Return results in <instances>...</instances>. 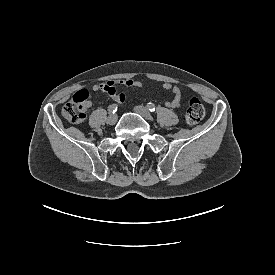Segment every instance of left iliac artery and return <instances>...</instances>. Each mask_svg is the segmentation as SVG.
<instances>
[{
  "instance_id": "44dca946",
  "label": "left iliac artery",
  "mask_w": 275,
  "mask_h": 275,
  "mask_svg": "<svg viewBox=\"0 0 275 275\" xmlns=\"http://www.w3.org/2000/svg\"><path fill=\"white\" fill-rule=\"evenodd\" d=\"M147 107L151 112L155 111V105L151 102L147 103Z\"/></svg>"
}]
</instances>
